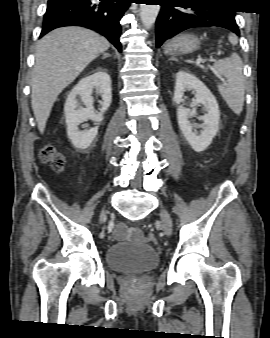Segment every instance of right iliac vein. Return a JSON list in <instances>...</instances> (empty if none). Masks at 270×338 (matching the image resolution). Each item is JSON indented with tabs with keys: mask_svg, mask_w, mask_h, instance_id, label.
Instances as JSON below:
<instances>
[{
	"mask_svg": "<svg viewBox=\"0 0 270 338\" xmlns=\"http://www.w3.org/2000/svg\"><path fill=\"white\" fill-rule=\"evenodd\" d=\"M104 216H105V211H102L101 214H100V221L103 220Z\"/></svg>",
	"mask_w": 270,
	"mask_h": 338,
	"instance_id": "obj_1",
	"label": "right iliac vein"
}]
</instances>
